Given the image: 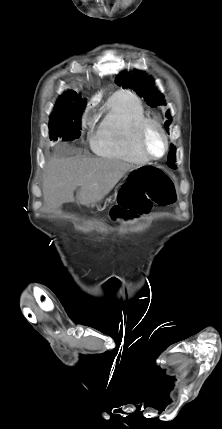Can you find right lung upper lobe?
<instances>
[{
    "label": "right lung upper lobe",
    "mask_w": 222,
    "mask_h": 429,
    "mask_svg": "<svg viewBox=\"0 0 222 429\" xmlns=\"http://www.w3.org/2000/svg\"><path fill=\"white\" fill-rule=\"evenodd\" d=\"M73 90H70V91H67V92H65V93H70V92H72Z\"/></svg>",
    "instance_id": "cb5924a9"
}]
</instances>
